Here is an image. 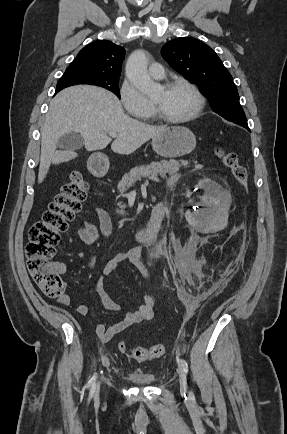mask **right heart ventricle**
<instances>
[{
  "mask_svg": "<svg viewBox=\"0 0 287 434\" xmlns=\"http://www.w3.org/2000/svg\"><path fill=\"white\" fill-rule=\"evenodd\" d=\"M148 117V115L147 116H144V118H147Z\"/></svg>",
  "mask_w": 287,
  "mask_h": 434,
  "instance_id": "1",
  "label": "right heart ventricle"
}]
</instances>
